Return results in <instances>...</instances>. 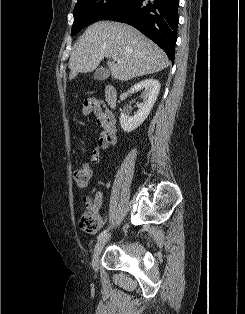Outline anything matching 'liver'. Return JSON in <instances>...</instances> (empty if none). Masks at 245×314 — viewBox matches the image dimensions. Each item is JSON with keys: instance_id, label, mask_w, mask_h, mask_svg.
I'll list each match as a JSON object with an SVG mask.
<instances>
[{"instance_id": "1", "label": "liver", "mask_w": 245, "mask_h": 314, "mask_svg": "<svg viewBox=\"0 0 245 314\" xmlns=\"http://www.w3.org/2000/svg\"><path fill=\"white\" fill-rule=\"evenodd\" d=\"M113 55L117 60L107 64L112 77L120 81L157 73L170 64L166 53L134 27L99 21L79 38L69 60V79L95 70L104 57Z\"/></svg>"}]
</instances>
